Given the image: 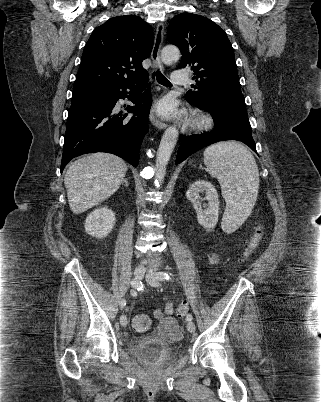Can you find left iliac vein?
I'll return each mask as SVG.
<instances>
[{
  "label": "left iliac vein",
  "mask_w": 321,
  "mask_h": 402,
  "mask_svg": "<svg viewBox=\"0 0 321 402\" xmlns=\"http://www.w3.org/2000/svg\"><path fill=\"white\" fill-rule=\"evenodd\" d=\"M158 273H159V272H156V271H153V270H148V271H147V273H146V275H145V278H146L147 282H148L151 286H154V287L159 286V282L157 281V274H158ZM195 329H196V327H195L194 322L188 321V322H187V330H188L190 333H194V332H195Z\"/></svg>",
  "instance_id": "obj_1"
}]
</instances>
